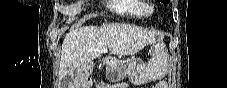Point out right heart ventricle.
<instances>
[{
    "label": "right heart ventricle",
    "instance_id": "obj_1",
    "mask_svg": "<svg viewBox=\"0 0 227 88\" xmlns=\"http://www.w3.org/2000/svg\"><path fill=\"white\" fill-rule=\"evenodd\" d=\"M108 8L117 15L141 19L139 0H108Z\"/></svg>",
    "mask_w": 227,
    "mask_h": 88
}]
</instances>
